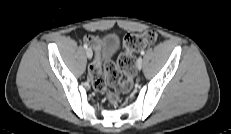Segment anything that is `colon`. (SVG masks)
<instances>
[{"label":"colon","mask_w":231,"mask_h":134,"mask_svg":"<svg viewBox=\"0 0 231 134\" xmlns=\"http://www.w3.org/2000/svg\"><path fill=\"white\" fill-rule=\"evenodd\" d=\"M86 40L93 47L99 44L98 38L87 36ZM157 40L156 32L149 30L144 33H129L124 38L126 51L118 57L117 62H107L103 67L99 59L89 66V78L96 91L106 94L108 102L115 106L120 95L128 92L136 74L134 53L153 44ZM123 74L125 78L123 79Z\"/></svg>","instance_id":"5ec220e1"}]
</instances>
